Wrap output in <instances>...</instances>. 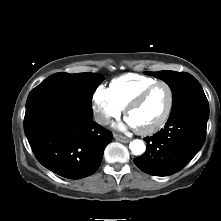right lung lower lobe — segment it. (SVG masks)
I'll use <instances>...</instances> for the list:
<instances>
[{"label":"right lung lower lobe","instance_id":"obj_1","mask_svg":"<svg viewBox=\"0 0 221 221\" xmlns=\"http://www.w3.org/2000/svg\"><path fill=\"white\" fill-rule=\"evenodd\" d=\"M92 116L56 101L26 109L24 131L38 161L52 172L80 179L99 167L113 135Z\"/></svg>","mask_w":221,"mask_h":221}]
</instances>
